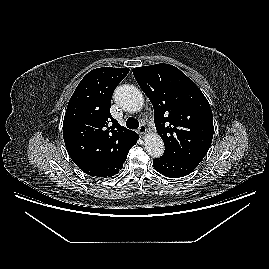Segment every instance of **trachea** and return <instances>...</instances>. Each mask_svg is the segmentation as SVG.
I'll return each instance as SVG.
<instances>
[{"label": "trachea", "mask_w": 269, "mask_h": 269, "mask_svg": "<svg viewBox=\"0 0 269 269\" xmlns=\"http://www.w3.org/2000/svg\"><path fill=\"white\" fill-rule=\"evenodd\" d=\"M126 126L129 128V129H136L139 127V121L133 117H130L127 119L126 121Z\"/></svg>", "instance_id": "trachea-1"}]
</instances>
